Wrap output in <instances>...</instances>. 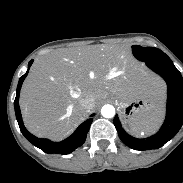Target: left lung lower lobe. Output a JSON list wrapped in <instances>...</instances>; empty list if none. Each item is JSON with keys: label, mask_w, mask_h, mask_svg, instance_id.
<instances>
[{"label": "left lung lower lobe", "mask_w": 183, "mask_h": 183, "mask_svg": "<svg viewBox=\"0 0 183 183\" xmlns=\"http://www.w3.org/2000/svg\"><path fill=\"white\" fill-rule=\"evenodd\" d=\"M145 63L167 83L168 99L164 124L155 135L137 139L123 130L117 115L114 118V125L121 141L128 147L140 151L160 148L177 134L183 124V78L181 73L169 57Z\"/></svg>", "instance_id": "obj_1"}]
</instances>
